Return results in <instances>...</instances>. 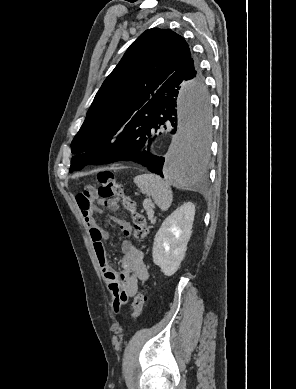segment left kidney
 <instances>
[{
    "mask_svg": "<svg viewBox=\"0 0 296 389\" xmlns=\"http://www.w3.org/2000/svg\"><path fill=\"white\" fill-rule=\"evenodd\" d=\"M195 206L186 202L162 223L155 235L153 262L166 276H172L179 268L192 233Z\"/></svg>",
    "mask_w": 296,
    "mask_h": 389,
    "instance_id": "1",
    "label": "left kidney"
}]
</instances>
